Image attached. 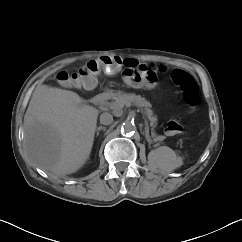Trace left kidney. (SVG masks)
Instances as JSON below:
<instances>
[{
	"mask_svg": "<svg viewBox=\"0 0 242 242\" xmlns=\"http://www.w3.org/2000/svg\"><path fill=\"white\" fill-rule=\"evenodd\" d=\"M155 153H156V151L151 152V154H155ZM181 164H182V161L180 159L179 162L177 163V166H180Z\"/></svg>",
	"mask_w": 242,
	"mask_h": 242,
	"instance_id": "obj_1",
	"label": "left kidney"
}]
</instances>
